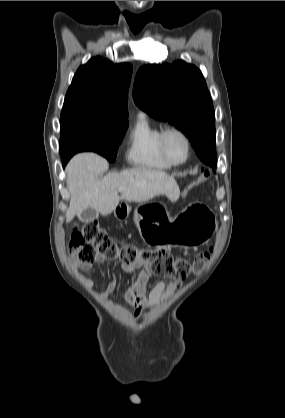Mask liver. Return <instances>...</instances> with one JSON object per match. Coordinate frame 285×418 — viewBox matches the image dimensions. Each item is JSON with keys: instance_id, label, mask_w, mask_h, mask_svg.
<instances>
[{"instance_id": "obj_1", "label": "liver", "mask_w": 285, "mask_h": 418, "mask_svg": "<svg viewBox=\"0 0 285 418\" xmlns=\"http://www.w3.org/2000/svg\"><path fill=\"white\" fill-rule=\"evenodd\" d=\"M107 169V160L95 153H80L69 161L66 172L71 198L66 211L67 222L88 208L106 216L121 200L143 203L157 195H166L175 202L180 196L174 177L163 171L139 167L109 173L99 179ZM119 188H124L121 196L118 195Z\"/></svg>"}]
</instances>
